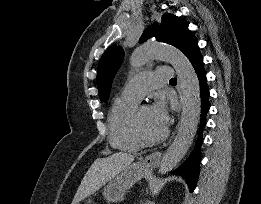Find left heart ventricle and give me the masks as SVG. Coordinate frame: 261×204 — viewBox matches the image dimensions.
<instances>
[{"mask_svg":"<svg viewBox=\"0 0 261 204\" xmlns=\"http://www.w3.org/2000/svg\"><path fill=\"white\" fill-rule=\"evenodd\" d=\"M140 121L143 129L150 136H158L164 131L156 125L151 108L148 106L141 109Z\"/></svg>","mask_w":261,"mask_h":204,"instance_id":"obj_1","label":"left heart ventricle"}]
</instances>
